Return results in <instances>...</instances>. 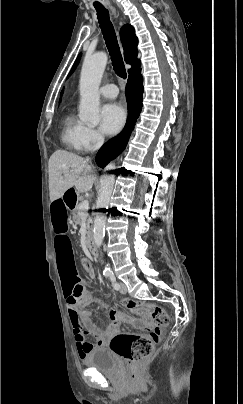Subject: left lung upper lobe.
Returning a JSON list of instances; mask_svg holds the SVG:
<instances>
[{
  "label": "left lung upper lobe",
  "mask_w": 243,
  "mask_h": 404,
  "mask_svg": "<svg viewBox=\"0 0 243 404\" xmlns=\"http://www.w3.org/2000/svg\"><path fill=\"white\" fill-rule=\"evenodd\" d=\"M80 57H81V54L78 55V57H77V59H76V61H75V63H74V65H73V67H72V69H71V71H70V73H69L68 76H70V75L73 73V71L75 70L76 66H77L78 63H79Z\"/></svg>",
  "instance_id": "1"
}]
</instances>
